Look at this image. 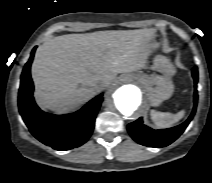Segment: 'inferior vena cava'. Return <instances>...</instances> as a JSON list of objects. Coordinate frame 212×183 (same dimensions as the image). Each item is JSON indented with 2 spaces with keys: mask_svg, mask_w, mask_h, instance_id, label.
Returning <instances> with one entry per match:
<instances>
[{
  "mask_svg": "<svg viewBox=\"0 0 212 183\" xmlns=\"http://www.w3.org/2000/svg\"><path fill=\"white\" fill-rule=\"evenodd\" d=\"M103 87H105V82H97L95 84L96 90H101Z\"/></svg>",
  "mask_w": 212,
  "mask_h": 183,
  "instance_id": "obj_1",
  "label": "inferior vena cava"
}]
</instances>
